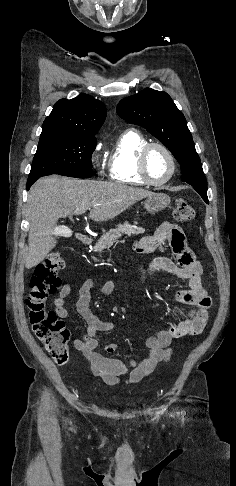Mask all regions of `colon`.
<instances>
[{
  "instance_id": "colon-1",
  "label": "colon",
  "mask_w": 236,
  "mask_h": 486,
  "mask_svg": "<svg viewBox=\"0 0 236 486\" xmlns=\"http://www.w3.org/2000/svg\"><path fill=\"white\" fill-rule=\"evenodd\" d=\"M173 215L177 222L188 223L195 218V211L187 200L179 199ZM63 268L64 261L59 252L48 254L36 267L26 297L32 330L54 361L60 365L69 360L70 333L55 311L45 309V302L61 285L59 272Z\"/></svg>"
}]
</instances>
